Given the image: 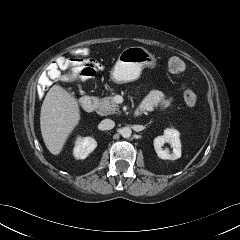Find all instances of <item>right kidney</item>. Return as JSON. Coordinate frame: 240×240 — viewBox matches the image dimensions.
I'll return each mask as SVG.
<instances>
[{"label": "right kidney", "instance_id": "1", "mask_svg": "<svg viewBox=\"0 0 240 240\" xmlns=\"http://www.w3.org/2000/svg\"><path fill=\"white\" fill-rule=\"evenodd\" d=\"M97 147V142L92 137L78 138L73 150L77 159H85Z\"/></svg>", "mask_w": 240, "mask_h": 240}]
</instances>
